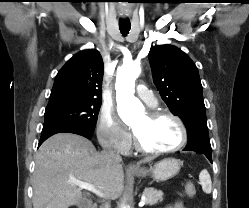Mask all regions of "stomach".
<instances>
[{
  "label": "stomach",
  "mask_w": 249,
  "mask_h": 208,
  "mask_svg": "<svg viewBox=\"0 0 249 208\" xmlns=\"http://www.w3.org/2000/svg\"><path fill=\"white\" fill-rule=\"evenodd\" d=\"M181 168V162L174 158H166L157 162L150 169L140 168L133 170L132 173L138 177H146L151 174L157 181H166L177 175Z\"/></svg>",
  "instance_id": "0dacf381"
}]
</instances>
